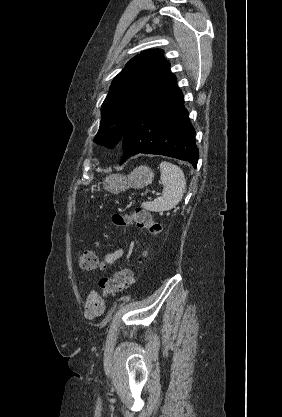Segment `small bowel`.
<instances>
[{
  "mask_svg": "<svg viewBox=\"0 0 282 417\" xmlns=\"http://www.w3.org/2000/svg\"><path fill=\"white\" fill-rule=\"evenodd\" d=\"M123 249L114 250L104 256L102 260L106 263L115 264L116 261L123 255ZM105 311V303L97 291H91L85 302V317L89 320L101 316Z\"/></svg>",
  "mask_w": 282,
  "mask_h": 417,
  "instance_id": "obj_1",
  "label": "small bowel"
}]
</instances>
